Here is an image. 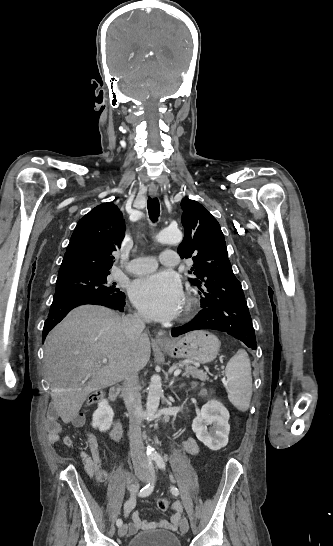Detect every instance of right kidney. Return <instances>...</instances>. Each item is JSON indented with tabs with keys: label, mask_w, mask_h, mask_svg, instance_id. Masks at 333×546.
Returning <instances> with one entry per match:
<instances>
[{
	"label": "right kidney",
	"mask_w": 333,
	"mask_h": 546,
	"mask_svg": "<svg viewBox=\"0 0 333 546\" xmlns=\"http://www.w3.org/2000/svg\"><path fill=\"white\" fill-rule=\"evenodd\" d=\"M114 412L109 406L107 400H101L98 403L97 410L93 413L92 426L98 428L101 432L107 431L112 424Z\"/></svg>",
	"instance_id": "obj_1"
}]
</instances>
